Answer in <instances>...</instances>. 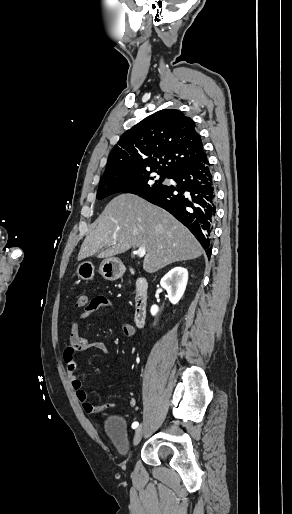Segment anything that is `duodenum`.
<instances>
[{
  "instance_id": "1",
  "label": "duodenum",
  "mask_w": 292,
  "mask_h": 514,
  "mask_svg": "<svg viewBox=\"0 0 292 514\" xmlns=\"http://www.w3.org/2000/svg\"><path fill=\"white\" fill-rule=\"evenodd\" d=\"M136 294L134 301V321L138 327H142L147 317L148 308V281L144 277L136 280Z\"/></svg>"
}]
</instances>
